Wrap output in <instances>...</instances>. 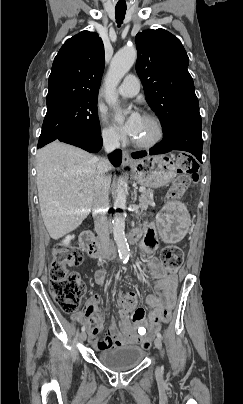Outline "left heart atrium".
<instances>
[{"instance_id":"left-heart-atrium-1","label":"left heart atrium","mask_w":243,"mask_h":404,"mask_svg":"<svg viewBox=\"0 0 243 404\" xmlns=\"http://www.w3.org/2000/svg\"><path fill=\"white\" fill-rule=\"evenodd\" d=\"M142 120L143 116L135 110L131 112L125 122L119 126V129L123 134L134 139L140 131Z\"/></svg>"}]
</instances>
